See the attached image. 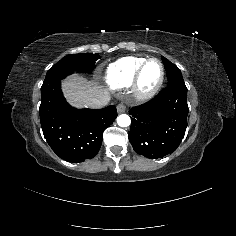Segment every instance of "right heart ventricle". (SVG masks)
Here are the masks:
<instances>
[{
  "label": "right heart ventricle",
  "mask_w": 236,
  "mask_h": 236,
  "mask_svg": "<svg viewBox=\"0 0 236 236\" xmlns=\"http://www.w3.org/2000/svg\"><path fill=\"white\" fill-rule=\"evenodd\" d=\"M145 60L144 57L126 56L109 64L104 74L108 88L115 91L129 88L137 69Z\"/></svg>",
  "instance_id": "right-heart-ventricle-1"
}]
</instances>
